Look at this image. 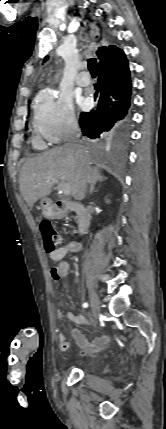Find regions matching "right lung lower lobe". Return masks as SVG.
I'll return each instance as SVG.
<instances>
[{
	"label": "right lung lower lobe",
	"mask_w": 166,
	"mask_h": 429,
	"mask_svg": "<svg viewBox=\"0 0 166 429\" xmlns=\"http://www.w3.org/2000/svg\"><path fill=\"white\" fill-rule=\"evenodd\" d=\"M97 106L80 114L82 134L90 139L118 135L129 116L131 78L127 58L121 51L98 63V82L94 85Z\"/></svg>",
	"instance_id": "98d812e1"
}]
</instances>
